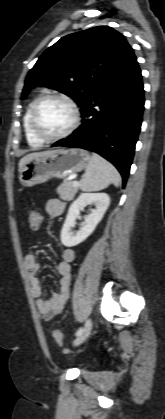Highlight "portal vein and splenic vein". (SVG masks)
<instances>
[{"instance_id":"1","label":"portal vein and splenic vein","mask_w":165,"mask_h":419,"mask_svg":"<svg viewBox=\"0 0 165 419\" xmlns=\"http://www.w3.org/2000/svg\"><path fill=\"white\" fill-rule=\"evenodd\" d=\"M79 183L77 181H73V186H78Z\"/></svg>"}]
</instances>
